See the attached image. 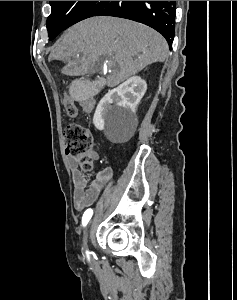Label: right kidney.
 Returning a JSON list of instances; mask_svg holds the SVG:
<instances>
[{
	"label": "right kidney",
	"mask_w": 237,
	"mask_h": 300,
	"mask_svg": "<svg viewBox=\"0 0 237 300\" xmlns=\"http://www.w3.org/2000/svg\"><path fill=\"white\" fill-rule=\"evenodd\" d=\"M146 89V81H143L141 77H130L125 83L106 93L105 97L99 101L94 113L93 123L96 129L103 131L105 125L103 113L105 109L111 107L112 103H116L117 107L130 109L132 113H135Z\"/></svg>",
	"instance_id": "obj_1"
}]
</instances>
